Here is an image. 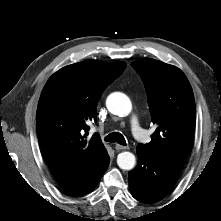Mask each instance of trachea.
Returning <instances> with one entry per match:
<instances>
[{"instance_id": "3493384b", "label": "trachea", "mask_w": 221, "mask_h": 221, "mask_svg": "<svg viewBox=\"0 0 221 221\" xmlns=\"http://www.w3.org/2000/svg\"><path fill=\"white\" fill-rule=\"evenodd\" d=\"M105 141L111 142V143L117 142L120 145L126 146V140L124 136L119 132H113V133L108 134L105 137Z\"/></svg>"}]
</instances>
